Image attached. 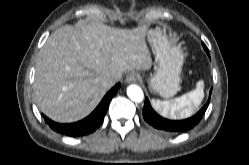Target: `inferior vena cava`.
Returning <instances> with one entry per match:
<instances>
[{
    "label": "inferior vena cava",
    "instance_id": "inferior-vena-cava-1",
    "mask_svg": "<svg viewBox=\"0 0 249 165\" xmlns=\"http://www.w3.org/2000/svg\"><path fill=\"white\" fill-rule=\"evenodd\" d=\"M116 82H117V79H116V78L109 76V77L104 78L102 83H103V86H104V87L110 88V87H112Z\"/></svg>",
    "mask_w": 249,
    "mask_h": 165
}]
</instances>
